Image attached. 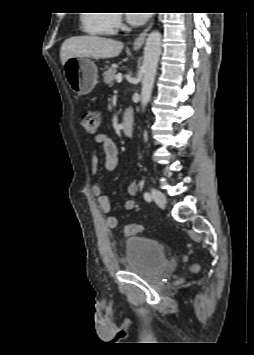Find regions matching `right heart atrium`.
<instances>
[{"label": "right heart atrium", "mask_w": 254, "mask_h": 355, "mask_svg": "<svg viewBox=\"0 0 254 355\" xmlns=\"http://www.w3.org/2000/svg\"><path fill=\"white\" fill-rule=\"evenodd\" d=\"M109 23L114 32L119 30L123 26L121 14L119 12L110 13Z\"/></svg>", "instance_id": "1"}]
</instances>
